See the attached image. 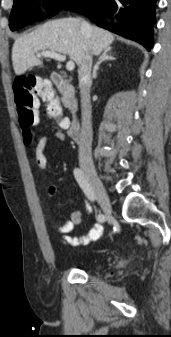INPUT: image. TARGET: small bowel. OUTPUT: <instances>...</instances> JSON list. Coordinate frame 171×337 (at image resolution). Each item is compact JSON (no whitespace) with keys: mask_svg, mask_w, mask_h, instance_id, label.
Returning <instances> with one entry per match:
<instances>
[{"mask_svg":"<svg viewBox=\"0 0 171 337\" xmlns=\"http://www.w3.org/2000/svg\"><path fill=\"white\" fill-rule=\"evenodd\" d=\"M55 141L63 142L66 139V135L62 131H56L51 136H43L39 139L35 147V162L40 170H45L48 166V159L46 156V146L50 139ZM57 190L56 186H50L49 195L52 196ZM91 214V208L89 205L85 204L84 211H74L72 212L70 219L63 220L59 219L55 222V231L58 234L63 235V241L70 246H81L90 243L91 241L97 240L103 232V227L99 223H94L90 230L82 236H71L69 235L76 225H79L84 218V215Z\"/></svg>","mask_w":171,"mask_h":337,"instance_id":"c3829d8e","label":"small bowel"}]
</instances>
